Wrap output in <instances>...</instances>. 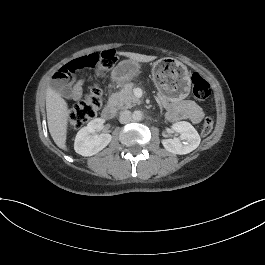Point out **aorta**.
<instances>
[{"label": "aorta", "instance_id": "aorta-1", "mask_svg": "<svg viewBox=\"0 0 265 265\" xmlns=\"http://www.w3.org/2000/svg\"><path fill=\"white\" fill-rule=\"evenodd\" d=\"M142 117H143V114L139 110L134 111L132 114V118L134 121H140V120H142Z\"/></svg>", "mask_w": 265, "mask_h": 265}]
</instances>
